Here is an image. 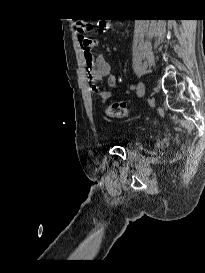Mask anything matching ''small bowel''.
<instances>
[{
  "mask_svg": "<svg viewBox=\"0 0 205 273\" xmlns=\"http://www.w3.org/2000/svg\"><path fill=\"white\" fill-rule=\"evenodd\" d=\"M78 43L82 50L85 65L88 68L89 78L92 82H99L103 78H107L108 84L117 88L116 78L111 74V65L101 53L95 54L93 49L98 45V40L92 37L79 36ZM102 100L110 97L109 90H101L98 92Z\"/></svg>",
  "mask_w": 205,
  "mask_h": 273,
  "instance_id": "c3829d8e",
  "label": "small bowel"
}]
</instances>
